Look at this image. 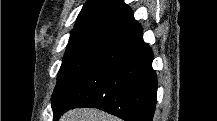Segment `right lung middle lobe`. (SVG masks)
<instances>
[{"instance_id": "1", "label": "right lung middle lobe", "mask_w": 217, "mask_h": 121, "mask_svg": "<svg viewBox=\"0 0 217 121\" xmlns=\"http://www.w3.org/2000/svg\"><path fill=\"white\" fill-rule=\"evenodd\" d=\"M126 25L120 22L102 21L74 28L71 31L52 99L87 70Z\"/></svg>"}]
</instances>
